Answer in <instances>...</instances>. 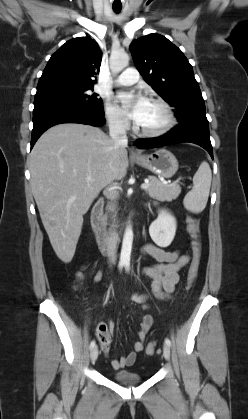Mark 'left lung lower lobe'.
<instances>
[{
  "label": "left lung lower lobe",
  "instance_id": "0a47b994",
  "mask_svg": "<svg viewBox=\"0 0 248 419\" xmlns=\"http://www.w3.org/2000/svg\"><path fill=\"white\" fill-rule=\"evenodd\" d=\"M179 121L180 123L168 133L156 138L138 139L135 141V145L141 149H150L175 143L191 142L203 147L213 158L206 112H194L179 119Z\"/></svg>",
  "mask_w": 248,
  "mask_h": 419
}]
</instances>
